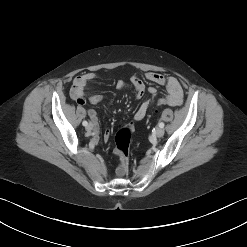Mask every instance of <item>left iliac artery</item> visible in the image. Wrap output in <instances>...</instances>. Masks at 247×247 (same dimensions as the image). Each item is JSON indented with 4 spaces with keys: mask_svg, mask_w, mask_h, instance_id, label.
<instances>
[{
    "mask_svg": "<svg viewBox=\"0 0 247 247\" xmlns=\"http://www.w3.org/2000/svg\"><path fill=\"white\" fill-rule=\"evenodd\" d=\"M159 127L163 128L164 127V123L163 122H160L159 123Z\"/></svg>",
    "mask_w": 247,
    "mask_h": 247,
    "instance_id": "left-iliac-artery-1",
    "label": "left iliac artery"
}]
</instances>
